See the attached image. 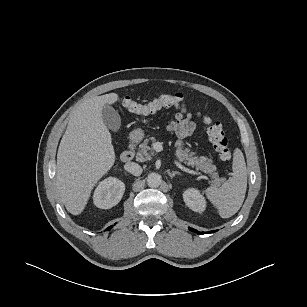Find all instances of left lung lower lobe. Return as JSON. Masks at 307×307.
<instances>
[{"label":"left lung lower lobe","instance_id":"1","mask_svg":"<svg viewBox=\"0 0 307 307\" xmlns=\"http://www.w3.org/2000/svg\"><path fill=\"white\" fill-rule=\"evenodd\" d=\"M190 230H191V231H194V232H196V233H197V231H196V230H194V229H192V228H190ZM212 232H214V231H210L209 233H212ZM201 234H204V232H202Z\"/></svg>","mask_w":307,"mask_h":307}]
</instances>
